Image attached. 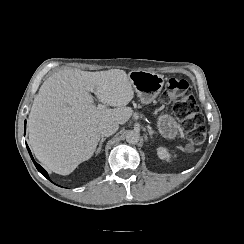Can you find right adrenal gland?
<instances>
[{
	"label": "right adrenal gland",
	"instance_id": "1",
	"mask_svg": "<svg viewBox=\"0 0 244 244\" xmlns=\"http://www.w3.org/2000/svg\"><path fill=\"white\" fill-rule=\"evenodd\" d=\"M106 140V138L104 137V136H101V140H100V142H99V147L97 148V150H96V155L98 154V153H100V151H101V148H102V144H103V142Z\"/></svg>",
	"mask_w": 244,
	"mask_h": 244
}]
</instances>
